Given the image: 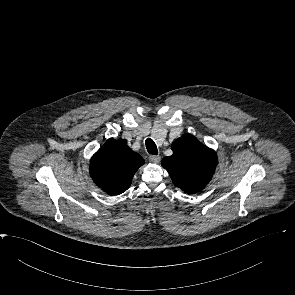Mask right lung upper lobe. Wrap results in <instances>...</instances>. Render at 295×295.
Listing matches in <instances>:
<instances>
[{
	"mask_svg": "<svg viewBox=\"0 0 295 295\" xmlns=\"http://www.w3.org/2000/svg\"><path fill=\"white\" fill-rule=\"evenodd\" d=\"M124 139L110 138L91 158L90 175L97 186L111 195L126 191L144 159Z\"/></svg>",
	"mask_w": 295,
	"mask_h": 295,
	"instance_id": "right-lung-upper-lobe-1",
	"label": "right lung upper lobe"
}]
</instances>
